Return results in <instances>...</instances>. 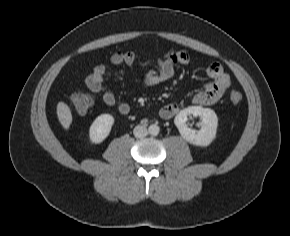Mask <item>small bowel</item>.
<instances>
[{
	"label": "small bowel",
	"instance_id": "c3829d8e",
	"mask_svg": "<svg viewBox=\"0 0 290 236\" xmlns=\"http://www.w3.org/2000/svg\"><path fill=\"white\" fill-rule=\"evenodd\" d=\"M110 61L113 65H126L134 68L137 57L134 52L114 53ZM190 62V55L185 51H171L157 61V67L150 70L143 79L145 86H154L170 79L174 74L175 65H187ZM207 74L212 79L202 90L195 93L192 102L199 106H208L217 103L231 85V79L224 67L220 63H212L207 68ZM112 76V70L104 64L96 66L89 74L85 83L88 89L96 94L102 95V100L107 106H114L116 99L114 94L105 87V82ZM118 111L126 115L130 107L126 103L118 106ZM179 111L176 103H169L160 108L158 115L161 119L167 120L173 118Z\"/></svg>",
	"mask_w": 290,
	"mask_h": 236
}]
</instances>
